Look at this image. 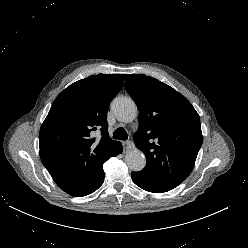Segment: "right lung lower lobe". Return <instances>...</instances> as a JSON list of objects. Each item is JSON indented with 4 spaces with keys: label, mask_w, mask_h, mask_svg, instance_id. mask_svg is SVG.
<instances>
[{
    "label": "right lung lower lobe",
    "mask_w": 248,
    "mask_h": 248,
    "mask_svg": "<svg viewBox=\"0 0 248 248\" xmlns=\"http://www.w3.org/2000/svg\"><path fill=\"white\" fill-rule=\"evenodd\" d=\"M122 151H123L122 145H121V143H119V145L113 151V156H116V155L122 153ZM104 177H105V175L102 174L101 177L98 179V181L90 189H88L86 192H84V193H82L76 197L86 196V195L91 194L94 191H96L103 184Z\"/></svg>",
    "instance_id": "obj_1"
}]
</instances>
